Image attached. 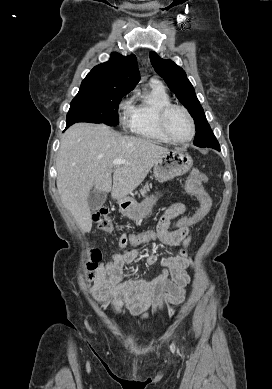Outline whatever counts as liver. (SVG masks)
<instances>
[{
    "label": "liver",
    "mask_w": 272,
    "mask_h": 389,
    "mask_svg": "<svg viewBox=\"0 0 272 389\" xmlns=\"http://www.w3.org/2000/svg\"><path fill=\"white\" fill-rule=\"evenodd\" d=\"M168 151L147 139L122 136L103 124H74L64 133L56 158L61 202L79 228L89 232L92 220L88 196L92 188L111 192L113 199L124 198ZM115 159L125 163L114 166Z\"/></svg>",
    "instance_id": "obj_1"
}]
</instances>
